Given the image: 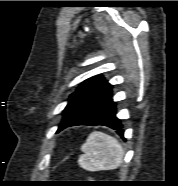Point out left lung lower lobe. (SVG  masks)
Segmentation results:
<instances>
[{
	"instance_id": "left-lung-lower-lobe-1",
	"label": "left lung lower lobe",
	"mask_w": 178,
	"mask_h": 186,
	"mask_svg": "<svg viewBox=\"0 0 178 186\" xmlns=\"http://www.w3.org/2000/svg\"><path fill=\"white\" fill-rule=\"evenodd\" d=\"M116 112V104L113 99L109 97L77 116L73 121H71L62 129L76 125H102L116 130L117 133L123 137L124 130L122 129L120 119L116 117Z\"/></svg>"
}]
</instances>
